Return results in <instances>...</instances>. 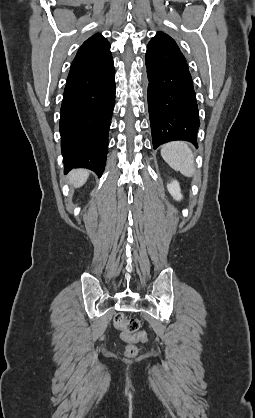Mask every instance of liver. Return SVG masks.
<instances>
[{"mask_svg": "<svg viewBox=\"0 0 255 418\" xmlns=\"http://www.w3.org/2000/svg\"><path fill=\"white\" fill-rule=\"evenodd\" d=\"M89 171L84 169L74 170L69 175V182L74 187H81L88 179Z\"/></svg>", "mask_w": 255, "mask_h": 418, "instance_id": "1", "label": "liver"}]
</instances>
